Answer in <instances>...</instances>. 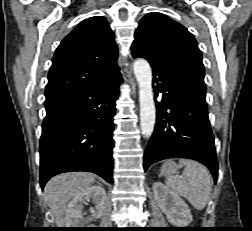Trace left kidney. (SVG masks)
Masks as SVG:
<instances>
[{"instance_id":"5707ae66","label":"left kidney","mask_w":252,"mask_h":231,"mask_svg":"<svg viewBox=\"0 0 252 231\" xmlns=\"http://www.w3.org/2000/svg\"><path fill=\"white\" fill-rule=\"evenodd\" d=\"M153 192L155 200L171 224L184 227L192 221L188 205L164 184L155 182Z\"/></svg>"}]
</instances>
